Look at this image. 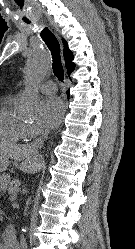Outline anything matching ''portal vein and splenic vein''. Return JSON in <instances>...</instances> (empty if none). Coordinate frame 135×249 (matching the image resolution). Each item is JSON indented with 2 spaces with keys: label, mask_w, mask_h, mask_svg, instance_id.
Masks as SVG:
<instances>
[{
  "label": "portal vein and splenic vein",
  "mask_w": 135,
  "mask_h": 249,
  "mask_svg": "<svg viewBox=\"0 0 135 249\" xmlns=\"http://www.w3.org/2000/svg\"><path fill=\"white\" fill-rule=\"evenodd\" d=\"M11 199L14 200V199H15V196H12Z\"/></svg>",
  "instance_id": "obj_1"
}]
</instances>
